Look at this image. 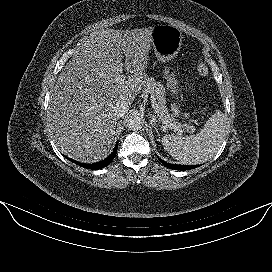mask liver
<instances>
[{
	"label": "liver",
	"instance_id": "1",
	"mask_svg": "<svg viewBox=\"0 0 272 272\" xmlns=\"http://www.w3.org/2000/svg\"><path fill=\"white\" fill-rule=\"evenodd\" d=\"M153 30H96L65 65L48 109L53 139L63 154L84 163L107 156L117 123L114 104L130 105L144 86ZM124 69L132 73L128 79Z\"/></svg>",
	"mask_w": 272,
	"mask_h": 272
}]
</instances>
